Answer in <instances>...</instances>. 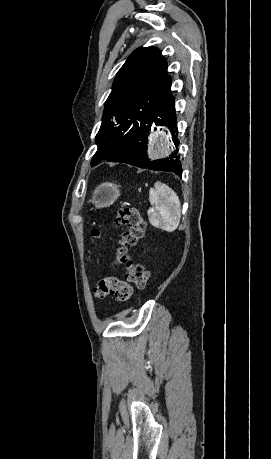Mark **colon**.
Returning a JSON list of instances; mask_svg holds the SVG:
<instances>
[{"mask_svg":"<svg viewBox=\"0 0 271 459\" xmlns=\"http://www.w3.org/2000/svg\"><path fill=\"white\" fill-rule=\"evenodd\" d=\"M117 222L123 227V232L118 241L114 264L122 267L127 282L116 275L102 277L93 289V296L97 300L114 296L119 301H128L132 295L130 284L143 289L148 281L149 274L146 268L134 263L128 256V248L135 245L144 234L145 221L141 213L136 208H122L118 213ZM91 235L95 240L102 237L99 228L93 229Z\"/></svg>","mask_w":271,"mask_h":459,"instance_id":"5ec220e1","label":"colon"}]
</instances>
